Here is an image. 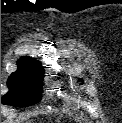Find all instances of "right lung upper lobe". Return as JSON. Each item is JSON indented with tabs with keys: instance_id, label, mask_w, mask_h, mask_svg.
Returning a JSON list of instances; mask_svg holds the SVG:
<instances>
[{
	"instance_id": "right-lung-upper-lobe-1",
	"label": "right lung upper lobe",
	"mask_w": 122,
	"mask_h": 123,
	"mask_svg": "<svg viewBox=\"0 0 122 123\" xmlns=\"http://www.w3.org/2000/svg\"><path fill=\"white\" fill-rule=\"evenodd\" d=\"M17 63H18V66H21V67L43 70L41 63L29 57H22L21 59L18 60Z\"/></svg>"
}]
</instances>
